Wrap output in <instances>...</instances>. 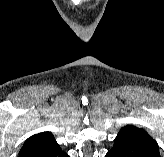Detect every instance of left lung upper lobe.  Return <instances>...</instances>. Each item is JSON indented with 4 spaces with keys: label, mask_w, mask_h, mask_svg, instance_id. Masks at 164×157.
<instances>
[{
    "label": "left lung upper lobe",
    "mask_w": 164,
    "mask_h": 157,
    "mask_svg": "<svg viewBox=\"0 0 164 157\" xmlns=\"http://www.w3.org/2000/svg\"><path fill=\"white\" fill-rule=\"evenodd\" d=\"M117 136H127L135 138L143 143L149 144L155 150H158L157 142L151 136H149V134L145 130L141 128H137L132 125H127L120 129Z\"/></svg>",
    "instance_id": "obj_1"
}]
</instances>
